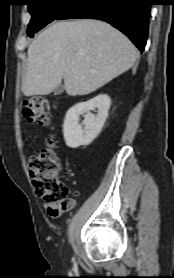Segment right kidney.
<instances>
[{
	"mask_svg": "<svg viewBox=\"0 0 174 278\" xmlns=\"http://www.w3.org/2000/svg\"><path fill=\"white\" fill-rule=\"evenodd\" d=\"M110 105V97L100 94L71 107L66 113L63 124L66 145L70 148L89 145L101 132L108 117ZM95 109H97L96 115L91 113ZM80 115L84 116L82 124H79Z\"/></svg>",
	"mask_w": 174,
	"mask_h": 278,
	"instance_id": "1",
	"label": "right kidney"
}]
</instances>
